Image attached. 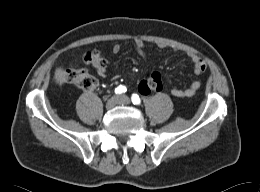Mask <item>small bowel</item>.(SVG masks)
<instances>
[{"label": "small bowel", "instance_id": "small-bowel-1", "mask_svg": "<svg viewBox=\"0 0 260 192\" xmlns=\"http://www.w3.org/2000/svg\"><path fill=\"white\" fill-rule=\"evenodd\" d=\"M134 47H135L136 52L142 58H146L145 46H144V42L142 40H137L135 42ZM120 50H121V46L119 44L112 45L111 51L114 54L119 53ZM189 57H190V59L193 63V73H194V75L198 76V75L202 74L203 72H205V70L207 69V64L201 57H199L195 54H190ZM94 68L96 69L98 75H100L102 77L107 74L106 66L95 65ZM166 78H168V77L166 76ZM201 85H202V82L196 80V81H193L186 88L173 87L171 89V93H172L173 96L178 97V98L192 97L201 88ZM139 90L142 94H147L148 85L146 84V79H144L140 82Z\"/></svg>", "mask_w": 260, "mask_h": 192}]
</instances>
